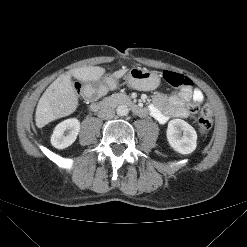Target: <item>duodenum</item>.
I'll use <instances>...</instances> for the list:
<instances>
[{"instance_id": "duodenum-1", "label": "duodenum", "mask_w": 247, "mask_h": 247, "mask_svg": "<svg viewBox=\"0 0 247 247\" xmlns=\"http://www.w3.org/2000/svg\"><path fill=\"white\" fill-rule=\"evenodd\" d=\"M115 105H125L136 114H143V108L125 95H115L102 100L90 96L89 108L94 111L107 110Z\"/></svg>"}]
</instances>
